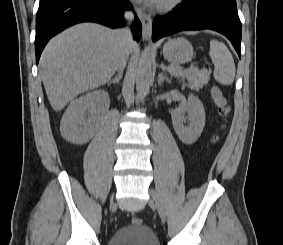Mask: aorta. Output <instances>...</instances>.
Instances as JSON below:
<instances>
[{"label":"aorta","instance_id":"obj_1","mask_svg":"<svg viewBox=\"0 0 283 245\" xmlns=\"http://www.w3.org/2000/svg\"><path fill=\"white\" fill-rule=\"evenodd\" d=\"M152 79V63L149 48L141 53L136 71V89L138 97L143 99L148 93Z\"/></svg>","mask_w":283,"mask_h":245}]
</instances>
